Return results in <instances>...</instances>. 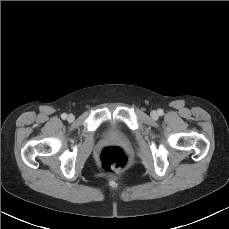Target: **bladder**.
<instances>
[{
	"mask_svg": "<svg viewBox=\"0 0 229 229\" xmlns=\"http://www.w3.org/2000/svg\"><path fill=\"white\" fill-rule=\"evenodd\" d=\"M115 123L113 122V121H108L107 123H106V127H107V130H108V132L110 133V134H113L114 133V131H115Z\"/></svg>",
	"mask_w": 229,
	"mask_h": 229,
	"instance_id": "bladder-1",
	"label": "bladder"
}]
</instances>
